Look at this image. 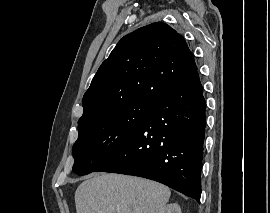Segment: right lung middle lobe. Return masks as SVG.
Here are the masks:
<instances>
[{
    "label": "right lung middle lobe",
    "instance_id": "dd1d6c3e",
    "mask_svg": "<svg viewBox=\"0 0 270 213\" xmlns=\"http://www.w3.org/2000/svg\"><path fill=\"white\" fill-rule=\"evenodd\" d=\"M155 103L134 101L78 123L73 171L86 175L113 156L141 127Z\"/></svg>",
    "mask_w": 270,
    "mask_h": 213
}]
</instances>
